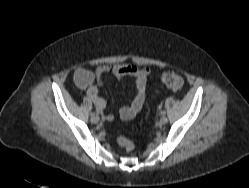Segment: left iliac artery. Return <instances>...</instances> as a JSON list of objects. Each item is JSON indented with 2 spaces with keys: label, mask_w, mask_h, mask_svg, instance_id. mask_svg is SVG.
Returning a JSON list of instances; mask_svg holds the SVG:
<instances>
[{
  "label": "left iliac artery",
  "mask_w": 249,
  "mask_h": 188,
  "mask_svg": "<svg viewBox=\"0 0 249 188\" xmlns=\"http://www.w3.org/2000/svg\"><path fill=\"white\" fill-rule=\"evenodd\" d=\"M161 114H162V115H165V114H166V111H164V110L161 111Z\"/></svg>",
  "instance_id": "1"
}]
</instances>
